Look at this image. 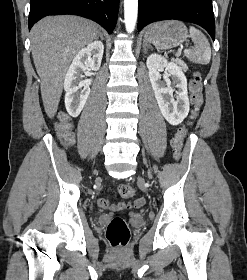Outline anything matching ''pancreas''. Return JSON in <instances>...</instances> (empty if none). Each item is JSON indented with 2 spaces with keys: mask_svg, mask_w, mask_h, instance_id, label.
<instances>
[{
  "mask_svg": "<svg viewBox=\"0 0 247 280\" xmlns=\"http://www.w3.org/2000/svg\"><path fill=\"white\" fill-rule=\"evenodd\" d=\"M175 62L181 66V68L183 69V71L186 72V71L188 70L187 65H186L182 60L176 59Z\"/></svg>",
  "mask_w": 247,
  "mask_h": 280,
  "instance_id": "1",
  "label": "pancreas"
}]
</instances>
